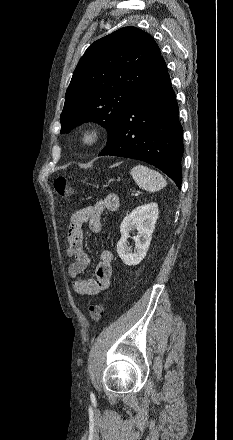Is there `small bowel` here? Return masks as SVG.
I'll return each instance as SVG.
<instances>
[{
  "mask_svg": "<svg viewBox=\"0 0 233 440\" xmlns=\"http://www.w3.org/2000/svg\"><path fill=\"white\" fill-rule=\"evenodd\" d=\"M118 207L119 197L111 193L94 205L77 211L70 219L66 253L72 261L68 267V275L72 280L74 292L79 295H97L110 286L114 257L109 250L101 252L94 277L89 279L81 277L90 264V258L84 250L83 230L84 226L88 225L94 233H99L103 214L106 211H116Z\"/></svg>",
  "mask_w": 233,
  "mask_h": 440,
  "instance_id": "1",
  "label": "small bowel"
}]
</instances>
